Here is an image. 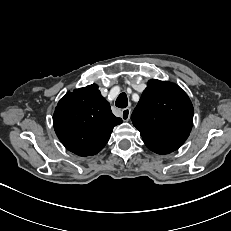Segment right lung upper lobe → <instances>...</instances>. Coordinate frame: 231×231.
Wrapping results in <instances>:
<instances>
[{"label":"right lung upper lobe","instance_id":"1","mask_svg":"<svg viewBox=\"0 0 231 231\" xmlns=\"http://www.w3.org/2000/svg\"><path fill=\"white\" fill-rule=\"evenodd\" d=\"M122 123L96 84L68 92L54 115L55 132L62 144L79 156L95 155L108 142L113 127Z\"/></svg>","mask_w":231,"mask_h":231}]
</instances>
